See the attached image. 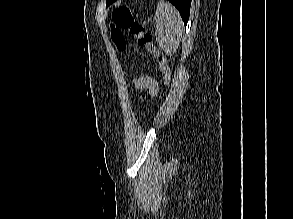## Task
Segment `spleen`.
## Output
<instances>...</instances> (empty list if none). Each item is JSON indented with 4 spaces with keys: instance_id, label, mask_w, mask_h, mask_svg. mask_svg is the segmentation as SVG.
<instances>
[{
    "instance_id": "obj_1",
    "label": "spleen",
    "mask_w": 293,
    "mask_h": 219,
    "mask_svg": "<svg viewBox=\"0 0 293 219\" xmlns=\"http://www.w3.org/2000/svg\"><path fill=\"white\" fill-rule=\"evenodd\" d=\"M154 20L159 47L168 55L174 54L183 34V21L179 12L170 3L161 0L157 4Z\"/></svg>"
}]
</instances>
